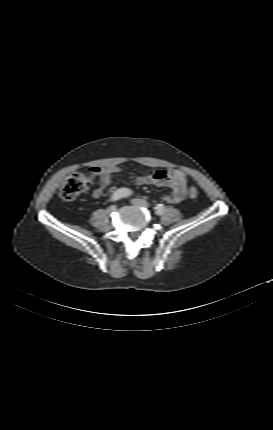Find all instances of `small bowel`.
<instances>
[{"mask_svg": "<svg viewBox=\"0 0 273 430\" xmlns=\"http://www.w3.org/2000/svg\"><path fill=\"white\" fill-rule=\"evenodd\" d=\"M91 171L93 174L99 176V187L92 193L94 198H99L102 196L105 188L110 184L111 176L118 173L120 169L116 166L98 167L95 165L92 167ZM187 183V176L180 170H158L136 178L137 185L169 187L171 189V194L164 196L162 200L170 204L179 203L185 198Z\"/></svg>", "mask_w": 273, "mask_h": 430, "instance_id": "small-bowel-1", "label": "small bowel"}]
</instances>
